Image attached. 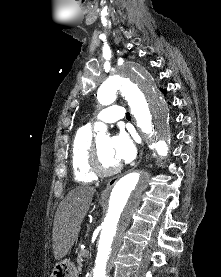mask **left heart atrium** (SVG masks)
<instances>
[{
    "instance_id": "obj_1",
    "label": "left heart atrium",
    "mask_w": 221,
    "mask_h": 277,
    "mask_svg": "<svg viewBox=\"0 0 221 277\" xmlns=\"http://www.w3.org/2000/svg\"><path fill=\"white\" fill-rule=\"evenodd\" d=\"M111 150L118 162H130L136 155V148L132 140L124 133L111 139Z\"/></svg>"
}]
</instances>
